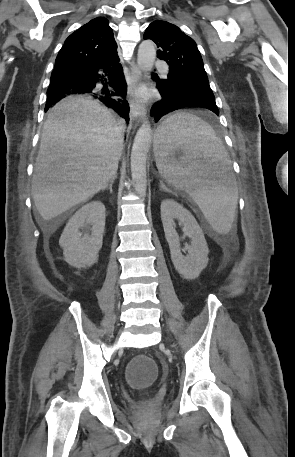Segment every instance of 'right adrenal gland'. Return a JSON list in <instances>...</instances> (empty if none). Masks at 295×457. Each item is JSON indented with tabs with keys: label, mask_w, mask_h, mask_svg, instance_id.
Listing matches in <instances>:
<instances>
[{
	"label": "right adrenal gland",
	"mask_w": 295,
	"mask_h": 457,
	"mask_svg": "<svg viewBox=\"0 0 295 457\" xmlns=\"http://www.w3.org/2000/svg\"><path fill=\"white\" fill-rule=\"evenodd\" d=\"M116 178H117V176L115 175V176L111 179V181L109 182L108 186H107L105 189H103V190L109 189V190H110V193L112 194V193H113L112 186H113V183H114V181H115Z\"/></svg>",
	"instance_id": "1"
}]
</instances>
